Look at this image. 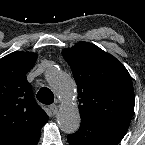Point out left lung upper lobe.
<instances>
[{"instance_id": "obj_1", "label": "left lung upper lobe", "mask_w": 145, "mask_h": 145, "mask_svg": "<svg viewBox=\"0 0 145 145\" xmlns=\"http://www.w3.org/2000/svg\"><path fill=\"white\" fill-rule=\"evenodd\" d=\"M78 88L81 120L131 121L135 95L124 65L88 42L64 49Z\"/></svg>"}]
</instances>
